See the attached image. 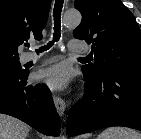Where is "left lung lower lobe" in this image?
<instances>
[{"mask_svg": "<svg viewBox=\"0 0 141 139\" xmlns=\"http://www.w3.org/2000/svg\"><path fill=\"white\" fill-rule=\"evenodd\" d=\"M83 74L84 96L69 112V136L110 126L141 131V72L108 69L100 75Z\"/></svg>", "mask_w": 141, "mask_h": 139, "instance_id": "left-lung-lower-lobe-1", "label": "left lung lower lobe"}]
</instances>
